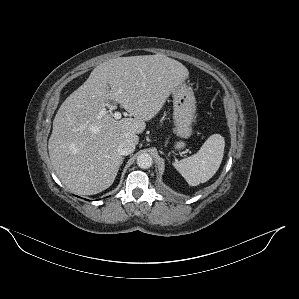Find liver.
Returning <instances> with one entry per match:
<instances>
[{
  "instance_id": "1",
  "label": "liver",
  "mask_w": 299,
  "mask_h": 299,
  "mask_svg": "<svg viewBox=\"0 0 299 299\" xmlns=\"http://www.w3.org/2000/svg\"><path fill=\"white\" fill-rule=\"evenodd\" d=\"M188 77L182 63L163 54L118 57L94 68L53 120L48 150L63 184L79 195L109 188L123 161L120 141L131 139L137 144L145 122L159 113ZM109 99L134 118H113L106 111Z\"/></svg>"
}]
</instances>
